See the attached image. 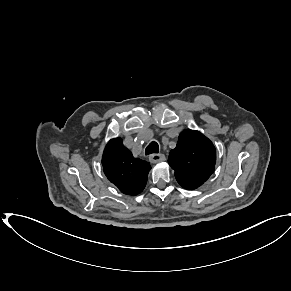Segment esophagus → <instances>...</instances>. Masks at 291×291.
<instances>
[{
    "instance_id": "obj_1",
    "label": "esophagus",
    "mask_w": 291,
    "mask_h": 291,
    "mask_svg": "<svg viewBox=\"0 0 291 291\" xmlns=\"http://www.w3.org/2000/svg\"><path fill=\"white\" fill-rule=\"evenodd\" d=\"M149 160L151 163H158L166 160L164 154H152L149 156Z\"/></svg>"
}]
</instances>
